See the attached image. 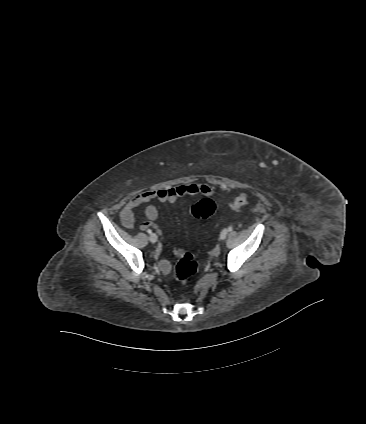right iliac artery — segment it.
I'll list each match as a JSON object with an SVG mask.
<instances>
[{
    "label": "right iliac artery",
    "mask_w": 366,
    "mask_h": 424,
    "mask_svg": "<svg viewBox=\"0 0 366 424\" xmlns=\"http://www.w3.org/2000/svg\"><path fill=\"white\" fill-rule=\"evenodd\" d=\"M147 232H148L149 234H152V230H150V229H148V230H147Z\"/></svg>",
    "instance_id": "obj_1"
}]
</instances>
